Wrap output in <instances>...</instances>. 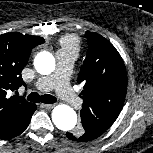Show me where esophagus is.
Masks as SVG:
<instances>
[{"mask_svg": "<svg viewBox=\"0 0 153 153\" xmlns=\"http://www.w3.org/2000/svg\"><path fill=\"white\" fill-rule=\"evenodd\" d=\"M55 106V104H41V107L46 109H52Z\"/></svg>", "mask_w": 153, "mask_h": 153, "instance_id": "esophagus-1", "label": "esophagus"}]
</instances>
